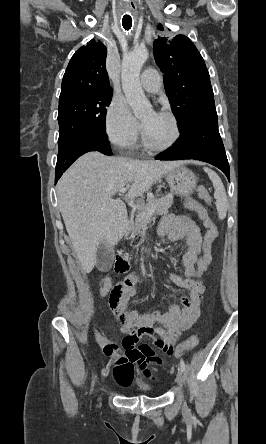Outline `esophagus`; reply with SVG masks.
<instances>
[{"label": "esophagus", "instance_id": "obj_1", "mask_svg": "<svg viewBox=\"0 0 266 444\" xmlns=\"http://www.w3.org/2000/svg\"><path fill=\"white\" fill-rule=\"evenodd\" d=\"M130 10H131L133 13H136V11H137V6H136L135 4H130Z\"/></svg>", "mask_w": 266, "mask_h": 444}]
</instances>
